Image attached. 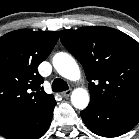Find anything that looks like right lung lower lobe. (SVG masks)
<instances>
[{"instance_id": "98d812e1", "label": "right lung lower lobe", "mask_w": 139, "mask_h": 139, "mask_svg": "<svg viewBox=\"0 0 139 139\" xmlns=\"http://www.w3.org/2000/svg\"><path fill=\"white\" fill-rule=\"evenodd\" d=\"M55 105L54 99L31 117L5 128L0 134L7 139H39L50 126Z\"/></svg>"}]
</instances>
